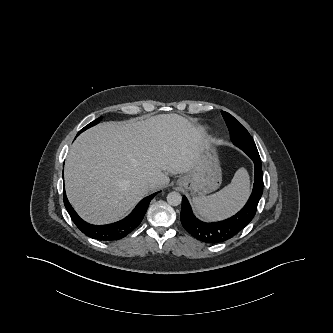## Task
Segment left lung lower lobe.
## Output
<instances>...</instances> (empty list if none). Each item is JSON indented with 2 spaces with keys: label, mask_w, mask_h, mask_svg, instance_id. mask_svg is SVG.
I'll return each instance as SVG.
<instances>
[{
  "label": "left lung lower lobe",
  "mask_w": 333,
  "mask_h": 333,
  "mask_svg": "<svg viewBox=\"0 0 333 333\" xmlns=\"http://www.w3.org/2000/svg\"><path fill=\"white\" fill-rule=\"evenodd\" d=\"M255 164V178L252 194L246 205L229 219L205 223L198 220L190 207L187 198H182L181 223L186 231L196 239L210 244L220 243L232 238L254 218L258 202L263 193V173L259 153L247 154Z\"/></svg>",
  "instance_id": "1"
}]
</instances>
